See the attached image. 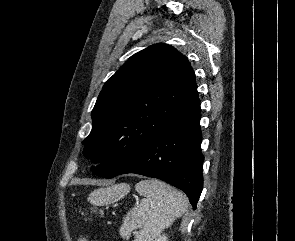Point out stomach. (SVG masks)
Here are the masks:
<instances>
[{
  "label": "stomach",
  "mask_w": 295,
  "mask_h": 241,
  "mask_svg": "<svg viewBox=\"0 0 295 241\" xmlns=\"http://www.w3.org/2000/svg\"><path fill=\"white\" fill-rule=\"evenodd\" d=\"M126 184L112 185L106 188L94 190L88 197V201L95 207L104 206L115 202L129 192Z\"/></svg>",
  "instance_id": "obj_1"
}]
</instances>
